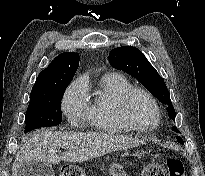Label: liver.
<instances>
[{
  "mask_svg": "<svg viewBox=\"0 0 205 176\" xmlns=\"http://www.w3.org/2000/svg\"><path fill=\"white\" fill-rule=\"evenodd\" d=\"M140 143L142 141L106 133H74L43 129L33 133L18 151L12 166V176H18L19 168L27 162H82ZM59 148L67 151L58 156Z\"/></svg>",
  "mask_w": 205,
  "mask_h": 176,
  "instance_id": "1",
  "label": "liver"
}]
</instances>
